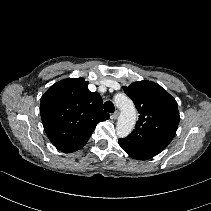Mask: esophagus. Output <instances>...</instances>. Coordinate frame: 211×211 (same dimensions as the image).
Returning <instances> with one entry per match:
<instances>
[{
    "label": "esophagus",
    "mask_w": 211,
    "mask_h": 211,
    "mask_svg": "<svg viewBox=\"0 0 211 211\" xmlns=\"http://www.w3.org/2000/svg\"><path fill=\"white\" fill-rule=\"evenodd\" d=\"M119 111L118 110H116L112 115H111V119H114V120H116L117 118H118V116H119Z\"/></svg>",
    "instance_id": "34e87169"
}]
</instances>
